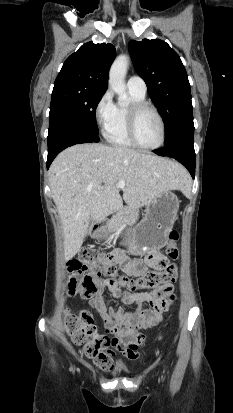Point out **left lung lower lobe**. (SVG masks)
Instances as JSON below:
<instances>
[{
	"label": "left lung lower lobe",
	"instance_id": "1",
	"mask_svg": "<svg viewBox=\"0 0 233 413\" xmlns=\"http://www.w3.org/2000/svg\"><path fill=\"white\" fill-rule=\"evenodd\" d=\"M160 156H169L182 163L190 172L192 178L195 176V151L193 140L182 139L174 142L171 146L155 150Z\"/></svg>",
	"mask_w": 233,
	"mask_h": 413
}]
</instances>
